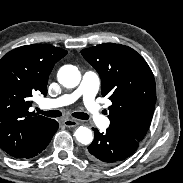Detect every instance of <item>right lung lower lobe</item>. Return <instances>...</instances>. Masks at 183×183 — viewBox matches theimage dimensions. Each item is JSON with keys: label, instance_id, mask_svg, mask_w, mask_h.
Segmentation results:
<instances>
[{"label": "right lung lower lobe", "instance_id": "1", "mask_svg": "<svg viewBox=\"0 0 183 183\" xmlns=\"http://www.w3.org/2000/svg\"><path fill=\"white\" fill-rule=\"evenodd\" d=\"M59 124L57 121L52 120L47 128L40 134L36 143L34 144L31 152L24 158H32L41 153L50 143L54 133L57 131Z\"/></svg>", "mask_w": 183, "mask_h": 183}]
</instances>
